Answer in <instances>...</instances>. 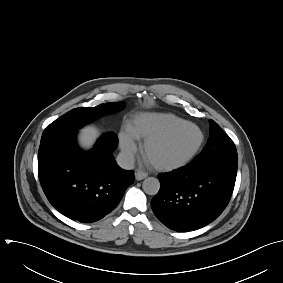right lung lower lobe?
I'll return each instance as SVG.
<instances>
[{"label": "right lung lower lobe", "mask_w": 283, "mask_h": 283, "mask_svg": "<svg viewBox=\"0 0 283 283\" xmlns=\"http://www.w3.org/2000/svg\"><path fill=\"white\" fill-rule=\"evenodd\" d=\"M76 132L40 144L38 175L53 207L72 220L91 223L110 213L134 182V171L121 169L112 151L114 132L102 136L84 152L76 145Z\"/></svg>", "instance_id": "1"}]
</instances>
